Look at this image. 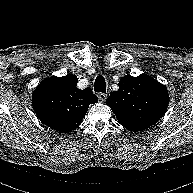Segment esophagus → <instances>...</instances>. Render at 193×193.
<instances>
[{"label":"esophagus","instance_id":"esophagus-1","mask_svg":"<svg viewBox=\"0 0 193 193\" xmlns=\"http://www.w3.org/2000/svg\"><path fill=\"white\" fill-rule=\"evenodd\" d=\"M97 96H98L99 100L102 102L105 101L107 98V94H105V93H98Z\"/></svg>","mask_w":193,"mask_h":193}]
</instances>
